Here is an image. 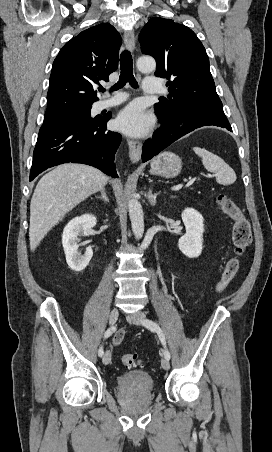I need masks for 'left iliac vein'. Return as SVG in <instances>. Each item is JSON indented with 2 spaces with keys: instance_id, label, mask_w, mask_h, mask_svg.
Returning <instances> with one entry per match:
<instances>
[{
  "instance_id": "left-iliac-vein-1",
  "label": "left iliac vein",
  "mask_w": 272,
  "mask_h": 452,
  "mask_svg": "<svg viewBox=\"0 0 272 452\" xmlns=\"http://www.w3.org/2000/svg\"><path fill=\"white\" fill-rule=\"evenodd\" d=\"M146 318L145 314L141 311H137L134 314L127 315L128 321L135 323L137 325H144L143 320ZM161 366L164 370L170 369V362L167 358L161 359Z\"/></svg>"
}]
</instances>
